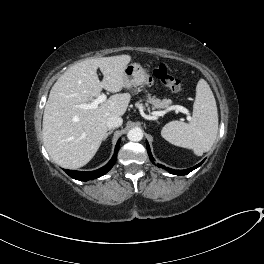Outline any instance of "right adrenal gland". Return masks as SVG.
<instances>
[{"label":"right adrenal gland","instance_id":"1","mask_svg":"<svg viewBox=\"0 0 264 264\" xmlns=\"http://www.w3.org/2000/svg\"><path fill=\"white\" fill-rule=\"evenodd\" d=\"M113 132V130H109V132L106 133L104 137V141L107 139V137Z\"/></svg>","mask_w":264,"mask_h":264}]
</instances>
